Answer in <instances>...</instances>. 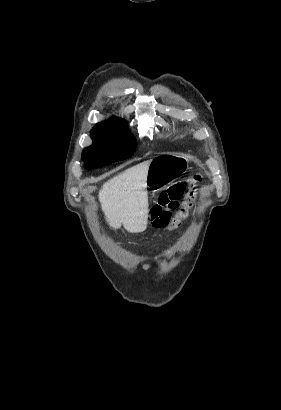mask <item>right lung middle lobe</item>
<instances>
[{
	"label": "right lung middle lobe",
	"instance_id": "right-lung-middle-lobe-1",
	"mask_svg": "<svg viewBox=\"0 0 281 410\" xmlns=\"http://www.w3.org/2000/svg\"><path fill=\"white\" fill-rule=\"evenodd\" d=\"M124 126L98 123L93 127V145L85 148L82 155L88 169L126 159L135 150V139L122 129Z\"/></svg>",
	"mask_w": 281,
	"mask_h": 410
}]
</instances>
